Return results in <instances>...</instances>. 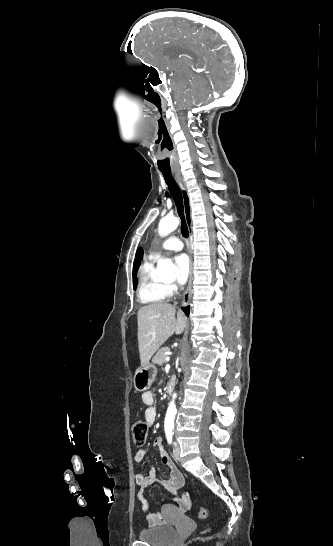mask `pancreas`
Listing matches in <instances>:
<instances>
[{
  "label": "pancreas",
  "mask_w": 333,
  "mask_h": 546,
  "mask_svg": "<svg viewBox=\"0 0 333 546\" xmlns=\"http://www.w3.org/2000/svg\"><path fill=\"white\" fill-rule=\"evenodd\" d=\"M169 351V348L168 347H163L161 349H159L156 353V355L153 357L152 359V362L157 364V365H162L164 363H166V357H167V354L166 352Z\"/></svg>",
  "instance_id": "obj_1"
}]
</instances>
